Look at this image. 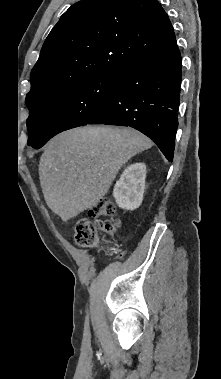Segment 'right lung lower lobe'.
<instances>
[{
	"label": "right lung lower lobe",
	"mask_w": 221,
	"mask_h": 379,
	"mask_svg": "<svg viewBox=\"0 0 221 379\" xmlns=\"http://www.w3.org/2000/svg\"><path fill=\"white\" fill-rule=\"evenodd\" d=\"M181 77V55L174 40L119 70L111 101L88 124L133 127L172 162Z\"/></svg>",
	"instance_id": "right-lung-lower-lobe-1"
}]
</instances>
